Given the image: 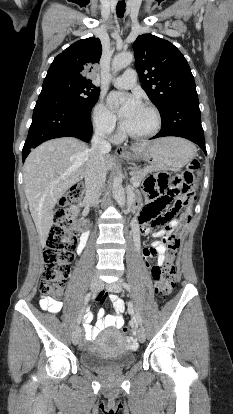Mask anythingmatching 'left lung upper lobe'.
Listing matches in <instances>:
<instances>
[{"label": "left lung upper lobe", "instance_id": "5c2ea615", "mask_svg": "<svg viewBox=\"0 0 233 414\" xmlns=\"http://www.w3.org/2000/svg\"><path fill=\"white\" fill-rule=\"evenodd\" d=\"M133 50L142 88L161 116L174 101L197 96L188 62L172 43L143 34L137 37Z\"/></svg>", "mask_w": 233, "mask_h": 414}]
</instances>
